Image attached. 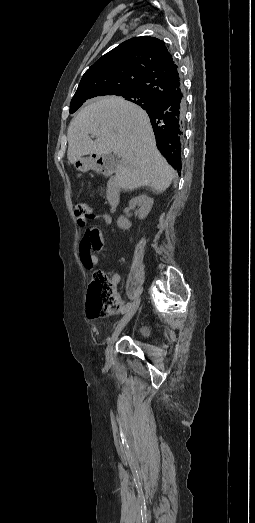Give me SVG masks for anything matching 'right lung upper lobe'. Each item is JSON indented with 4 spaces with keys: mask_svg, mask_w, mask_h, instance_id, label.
Wrapping results in <instances>:
<instances>
[{
    "mask_svg": "<svg viewBox=\"0 0 255 523\" xmlns=\"http://www.w3.org/2000/svg\"><path fill=\"white\" fill-rule=\"evenodd\" d=\"M129 91H141L148 95L147 100L136 104L146 110L154 132L153 112L156 105L173 97L180 98L181 105L177 108L180 134L172 139L179 140L182 145L185 108L182 81L172 55L160 39L135 37L106 53L85 72L70 106H82L85 102ZM157 147L170 165L180 169L181 149L168 155L163 145L157 143Z\"/></svg>",
    "mask_w": 255,
    "mask_h": 523,
    "instance_id": "cb5924a9",
    "label": "right lung upper lobe"
}]
</instances>
